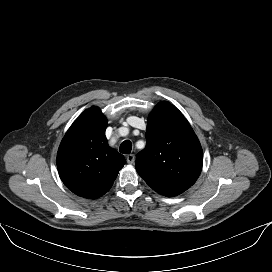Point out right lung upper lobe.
Masks as SVG:
<instances>
[{"mask_svg":"<svg viewBox=\"0 0 272 272\" xmlns=\"http://www.w3.org/2000/svg\"><path fill=\"white\" fill-rule=\"evenodd\" d=\"M107 119L95 106L86 109L64 136L57 153V168L74 194L97 199L111 188L125 158L108 146Z\"/></svg>","mask_w":272,"mask_h":272,"instance_id":"cb5924a9","label":"right lung upper lobe"}]
</instances>
